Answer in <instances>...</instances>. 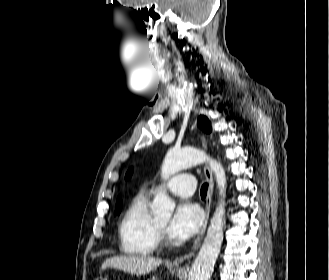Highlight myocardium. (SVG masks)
Returning a JSON list of instances; mask_svg holds the SVG:
<instances>
[{"instance_id": "f54148a6", "label": "myocardium", "mask_w": 329, "mask_h": 280, "mask_svg": "<svg viewBox=\"0 0 329 280\" xmlns=\"http://www.w3.org/2000/svg\"><path fill=\"white\" fill-rule=\"evenodd\" d=\"M158 235L163 236L165 233V227L157 221Z\"/></svg>"}]
</instances>
